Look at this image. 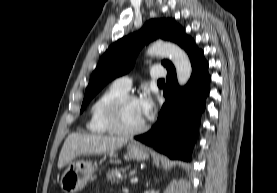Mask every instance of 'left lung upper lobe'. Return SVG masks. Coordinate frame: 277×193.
Instances as JSON below:
<instances>
[{
	"instance_id": "5c2ea615",
	"label": "left lung upper lobe",
	"mask_w": 277,
	"mask_h": 193,
	"mask_svg": "<svg viewBox=\"0 0 277 193\" xmlns=\"http://www.w3.org/2000/svg\"><path fill=\"white\" fill-rule=\"evenodd\" d=\"M159 37L175 42L182 48L191 39L185 35L183 28L177 25L174 19H153L148 21L140 32L118 40L104 53L91 75L81 112L109 81L130 71L134 65L136 55L145 43ZM162 64L166 68L172 65L167 60H163Z\"/></svg>"
}]
</instances>
